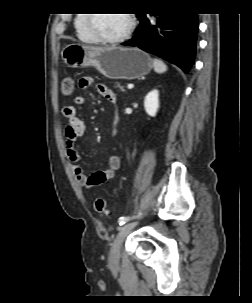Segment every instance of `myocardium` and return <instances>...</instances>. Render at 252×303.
<instances>
[{
  "label": "myocardium",
  "instance_id": "1",
  "mask_svg": "<svg viewBox=\"0 0 252 303\" xmlns=\"http://www.w3.org/2000/svg\"><path fill=\"white\" fill-rule=\"evenodd\" d=\"M127 15H128L129 23H128L126 30L123 33H121L120 35H117L114 37L103 36V35L95 32L92 28V24L94 21V15L88 16V28L91 32L92 39L101 41L104 43H118V42H122L125 39H127L130 36V34L132 33V31L136 25L135 15L133 13H129V12L127 13Z\"/></svg>",
  "mask_w": 252,
  "mask_h": 303
}]
</instances>
